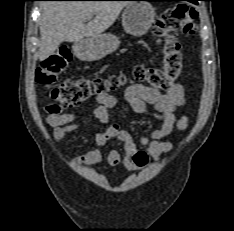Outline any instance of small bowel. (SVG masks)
I'll return each instance as SVG.
<instances>
[{
  "mask_svg": "<svg viewBox=\"0 0 234 231\" xmlns=\"http://www.w3.org/2000/svg\"><path fill=\"white\" fill-rule=\"evenodd\" d=\"M125 99L135 113L151 117L160 123L159 128L139 139L141 146L153 159H158L162 154L169 152L172 149V143L164 141L163 138L171 134L175 126L182 131L188 125L186 116L177 120L175 115L176 109L186 102L183 86L176 83L167 94H161L154 88L132 84L125 90ZM95 103L94 116L106 126L94 135L97 148L74 156L73 161L83 165H94L105 159L112 167L124 165L128 169H133L131 162L133 137L120 126L117 120L112 119V116L117 113L116 98L105 93L97 96ZM147 104L152 105L153 109H149ZM45 110L47 112L46 123L53 129L55 142L62 141L67 134L80 127L75 122V115L62 113L56 105H49ZM114 140L123 144V154L115 148L108 147L109 143Z\"/></svg>",
  "mask_w": 234,
  "mask_h": 231,
  "instance_id": "small-bowel-1",
  "label": "small bowel"
}]
</instances>
